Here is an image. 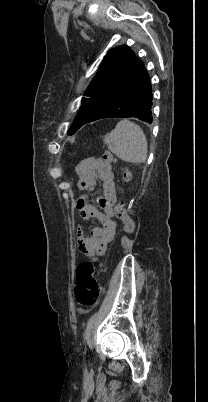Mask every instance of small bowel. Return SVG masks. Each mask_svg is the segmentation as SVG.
Instances as JSON below:
<instances>
[{
    "label": "small bowel",
    "instance_id": "small-bowel-1",
    "mask_svg": "<svg viewBox=\"0 0 208 402\" xmlns=\"http://www.w3.org/2000/svg\"><path fill=\"white\" fill-rule=\"evenodd\" d=\"M76 173L79 177L78 187L86 193L94 191L98 181L102 183L99 201L102 212L89 202L87 194L82 195L76 202L77 210L83 219L97 218L102 224L101 228H92L89 236L82 227L76 228L79 248L87 254H101L114 239L118 229L113 210L116 192L112 164L101 158L89 157L78 163Z\"/></svg>",
    "mask_w": 208,
    "mask_h": 402
}]
</instances>
